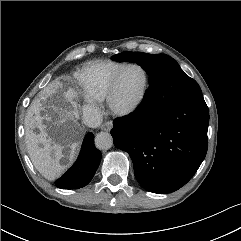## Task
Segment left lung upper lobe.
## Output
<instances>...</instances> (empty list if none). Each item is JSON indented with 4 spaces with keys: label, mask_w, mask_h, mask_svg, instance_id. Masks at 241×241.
Returning <instances> with one entry per match:
<instances>
[{
    "label": "left lung upper lobe",
    "mask_w": 241,
    "mask_h": 241,
    "mask_svg": "<svg viewBox=\"0 0 241 241\" xmlns=\"http://www.w3.org/2000/svg\"><path fill=\"white\" fill-rule=\"evenodd\" d=\"M119 62H135L149 75V87L158 83L164 87L172 100H180L202 91L197 82L185 74L178 63L168 55H152L141 52H122L112 57Z\"/></svg>",
    "instance_id": "5c2ea615"
}]
</instances>
